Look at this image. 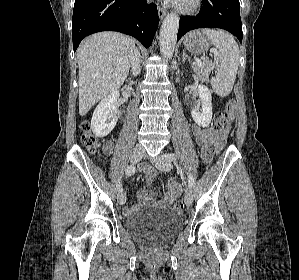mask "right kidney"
I'll use <instances>...</instances> for the list:
<instances>
[{
    "mask_svg": "<svg viewBox=\"0 0 299 280\" xmlns=\"http://www.w3.org/2000/svg\"><path fill=\"white\" fill-rule=\"evenodd\" d=\"M119 91L104 97L94 110L91 119V130L97 137L107 136L118 120Z\"/></svg>",
    "mask_w": 299,
    "mask_h": 280,
    "instance_id": "right-kidney-1",
    "label": "right kidney"
}]
</instances>
